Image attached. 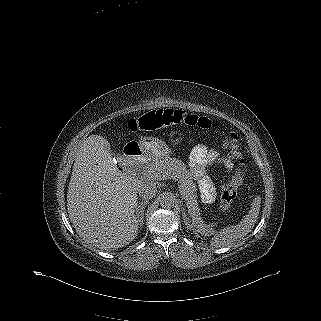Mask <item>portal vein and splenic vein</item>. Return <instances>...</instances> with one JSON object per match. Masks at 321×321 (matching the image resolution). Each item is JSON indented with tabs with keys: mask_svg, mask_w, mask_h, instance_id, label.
<instances>
[{
	"mask_svg": "<svg viewBox=\"0 0 321 321\" xmlns=\"http://www.w3.org/2000/svg\"><path fill=\"white\" fill-rule=\"evenodd\" d=\"M145 174L147 175L148 178H153L156 180H163L166 178L165 175H161L160 172L154 171V170H148V171H146Z\"/></svg>",
	"mask_w": 321,
	"mask_h": 321,
	"instance_id": "1",
	"label": "portal vein and splenic vein"
}]
</instances>
